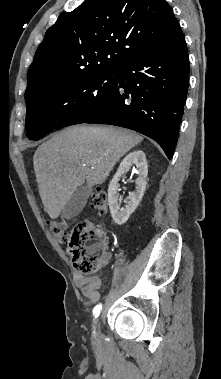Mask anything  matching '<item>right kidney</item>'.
Wrapping results in <instances>:
<instances>
[{"label":"right kidney","mask_w":221,"mask_h":379,"mask_svg":"<svg viewBox=\"0 0 221 379\" xmlns=\"http://www.w3.org/2000/svg\"><path fill=\"white\" fill-rule=\"evenodd\" d=\"M137 167V179L135 180V191L129 193L125 207H120L118 196V181L126 173L129 166ZM148 174V165L146 156L143 151L135 150L129 153L120 163L119 168L109 183L108 202L110 213L113 221L118 225H123L129 219L130 215L136 210L146 189V178Z\"/></svg>","instance_id":"obj_1"}]
</instances>
